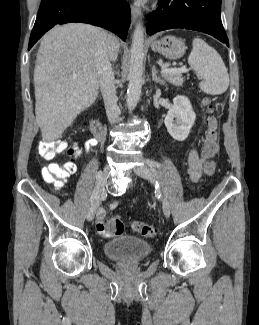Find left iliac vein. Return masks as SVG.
<instances>
[{
    "instance_id": "obj_1",
    "label": "left iliac vein",
    "mask_w": 259,
    "mask_h": 325,
    "mask_svg": "<svg viewBox=\"0 0 259 325\" xmlns=\"http://www.w3.org/2000/svg\"><path fill=\"white\" fill-rule=\"evenodd\" d=\"M135 172L140 177L150 181L151 183H154L155 181L154 176L146 165H141L137 167L135 169ZM162 206H163L164 215L168 218L170 216L171 207L169 201L165 197L162 200Z\"/></svg>"
}]
</instances>
